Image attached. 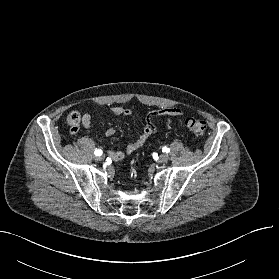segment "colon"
Segmentation results:
<instances>
[{
  "label": "colon",
  "mask_w": 279,
  "mask_h": 279,
  "mask_svg": "<svg viewBox=\"0 0 279 279\" xmlns=\"http://www.w3.org/2000/svg\"><path fill=\"white\" fill-rule=\"evenodd\" d=\"M80 115L72 112L68 115L67 122L72 132H77L80 125ZM187 129L196 136H202L206 130V123L196 118H187L185 121Z\"/></svg>",
  "instance_id": "obj_1"
}]
</instances>
